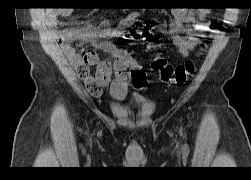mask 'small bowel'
Wrapping results in <instances>:
<instances>
[{
	"label": "small bowel",
	"mask_w": 251,
	"mask_h": 180,
	"mask_svg": "<svg viewBox=\"0 0 251 180\" xmlns=\"http://www.w3.org/2000/svg\"><path fill=\"white\" fill-rule=\"evenodd\" d=\"M70 14L69 9H57L47 12L48 24L56 26L59 17ZM173 20L167 33L172 35L173 44L181 57H187L199 44L196 31L206 30L205 24L209 10L201 8L196 11L185 8H175L172 11ZM139 17L138 12H131L122 19L117 27H111L109 22L103 21L100 27L81 25L75 28H65L60 31V43L65 53L77 65V71L88 91L99 96L103 88L109 87L112 97L122 100L128 94L130 86L143 90L147 86L144 70L121 48L111 40L120 37L125 28L134 23ZM185 24H192L194 29L186 28ZM73 42L89 43L106 52L113 62L100 60L95 51H85L80 57L72 46ZM95 67V73L91 68Z\"/></svg>",
	"instance_id": "small-bowel-1"
}]
</instances>
